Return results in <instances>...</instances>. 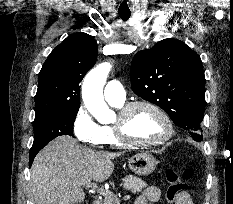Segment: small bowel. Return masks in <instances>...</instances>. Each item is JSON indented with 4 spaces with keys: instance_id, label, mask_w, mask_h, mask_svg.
<instances>
[{
    "instance_id": "1",
    "label": "small bowel",
    "mask_w": 233,
    "mask_h": 204,
    "mask_svg": "<svg viewBox=\"0 0 233 204\" xmlns=\"http://www.w3.org/2000/svg\"><path fill=\"white\" fill-rule=\"evenodd\" d=\"M149 203H162L160 190L155 186L147 187L137 198L135 204H149ZM175 204H193L190 195L186 192L178 197Z\"/></svg>"
}]
</instances>
